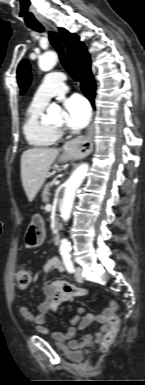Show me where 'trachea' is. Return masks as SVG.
<instances>
[{"instance_id":"1","label":"trachea","mask_w":145,"mask_h":385,"mask_svg":"<svg viewBox=\"0 0 145 385\" xmlns=\"http://www.w3.org/2000/svg\"><path fill=\"white\" fill-rule=\"evenodd\" d=\"M29 28H31L32 30H35L37 32H43L44 31V27L41 24L29 26ZM49 40H50L51 45L57 51L59 58H60V61H61V64L63 65L65 70L70 74V76L75 81H78L79 76H78L77 72L75 71V69L73 68L67 54L64 51V48H63L59 34H57L56 32H49Z\"/></svg>"}]
</instances>
